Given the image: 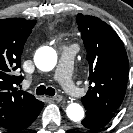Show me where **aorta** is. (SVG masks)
<instances>
[{
	"instance_id": "1",
	"label": "aorta",
	"mask_w": 133,
	"mask_h": 133,
	"mask_svg": "<svg viewBox=\"0 0 133 133\" xmlns=\"http://www.w3.org/2000/svg\"><path fill=\"white\" fill-rule=\"evenodd\" d=\"M36 67L44 72L51 71L57 63V54L53 48L47 47L34 57ZM68 118L79 122L84 118L83 107L78 103H70L66 108Z\"/></svg>"
}]
</instances>
